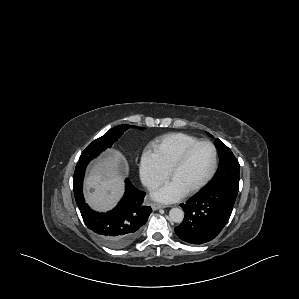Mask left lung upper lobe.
<instances>
[{"label": "left lung upper lobe", "mask_w": 299, "mask_h": 299, "mask_svg": "<svg viewBox=\"0 0 299 299\" xmlns=\"http://www.w3.org/2000/svg\"><path fill=\"white\" fill-rule=\"evenodd\" d=\"M215 145L219 153V167L205 188L224 187L238 192L240 165L232 151L222 141L217 139Z\"/></svg>", "instance_id": "left-lung-upper-lobe-1"}]
</instances>
